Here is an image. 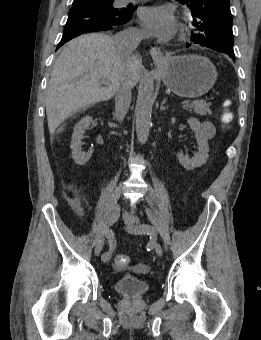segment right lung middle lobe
Instances as JSON below:
<instances>
[{"mask_svg": "<svg viewBox=\"0 0 261 340\" xmlns=\"http://www.w3.org/2000/svg\"><path fill=\"white\" fill-rule=\"evenodd\" d=\"M113 1L114 0H91L86 2L101 5L109 11L123 12V9H118L113 6Z\"/></svg>", "mask_w": 261, "mask_h": 340, "instance_id": "1", "label": "right lung middle lobe"}]
</instances>
